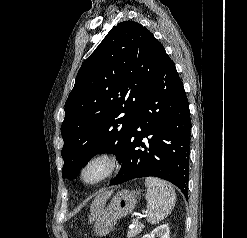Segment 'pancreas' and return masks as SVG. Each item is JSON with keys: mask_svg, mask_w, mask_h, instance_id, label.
<instances>
[{"mask_svg": "<svg viewBox=\"0 0 247 238\" xmlns=\"http://www.w3.org/2000/svg\"><path fill=\"white\" fill-rule=\"evenodd\" d=\"M132 223H133V228L129 229V231L127 232L128 238H134L135 236H137L144 227V225L138 222V220H133Z\"/></svg>", "mask_w": 247, "mask_h": 238, "instance_id": "obj_1", "label": "pancreas"}]
</instances>
